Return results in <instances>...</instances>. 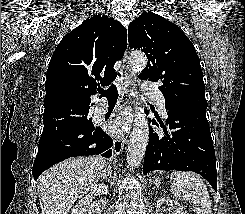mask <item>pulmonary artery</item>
I'll return each instance as SVG.
<instances>
[{
	"instance_id": "obj_1",
	"label": "pulmonary artery",
	"mask_w": 245,
	"mask_h": 214,
	"mask_svg": "<svg viewBox=\"0 0 245 214\" xmlns=\"http://www.w3.org/2000/svg\"><path fill=\"white\" fill-rule=\"evenodd\" d=\"M141 89L144 95L152 98L156 102L161 114L163 116H166L167 112L165 109V99L163 94L157 89V87L152 82L144 81L141 85ZM106 109L107 105L105 103H100L96 106L95 114L97 116L102 115L106 111Z\"/></svg>"
}]
</instances>
